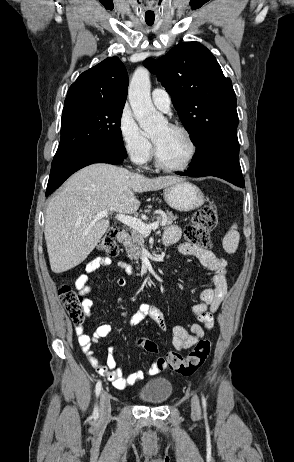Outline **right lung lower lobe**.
I'll return each instance as SVG.
<instances>
[{
	"instance_id": "obj_1",
	"label": "right lung lower lobe",
	"mask_w": 294,
	"mask_h": 462,
	"mask_svg": "<svg viewBox=\"0 0 294 462\" xmlns=\"http://www.w3.org/2000/svg\"><path fill=\"white\" fill-rule=\"evenodd\" d=\"M127 157L124 146L97 144L72 147L55 154L46 196L56 190L71 174L93 163L119 164Z\"/></svg>"
}]
</instances>
